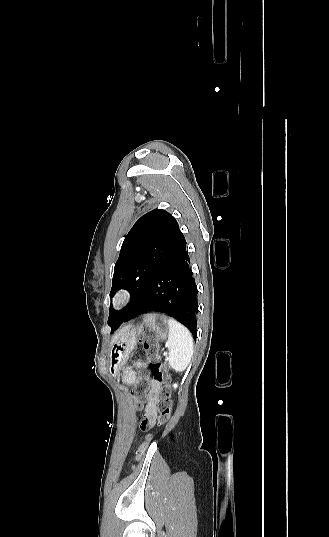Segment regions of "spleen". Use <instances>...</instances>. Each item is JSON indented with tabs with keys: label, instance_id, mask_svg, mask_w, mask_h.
<instances>
[{
	"label": "spleen",
	"instance_id": "3e777b00",
	"mask_svg": "<svg viewBox=\"0 0 329 537\" xmlns=\"http://www.w3.org/2000/svg\"><path fill=\"white\" fill-rule=\"evenodd\" d=\"M169 365L176 371L186 369L194 352V342L190 331L173 318L168 321Z\"/></svg>",
	"mask_w": 329,
	"mask_h": 537
}]
</instances>
